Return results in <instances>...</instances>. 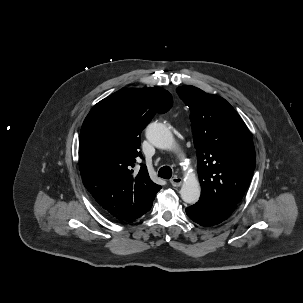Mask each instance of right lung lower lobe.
I'll list each match as a JSON object with an SVG mask.
<instances>
[{"mask_svg":"<svg viewBox=\"0 0 303 303\" xmlns=\"http://www.w3.org/2000/svg\"><path fill=\"white\" fill-rule=\"evenodd\" d=\"M151 206H152V204L150 205V207L148 208V210H147V211H149V210H150ZM147 211H146V212H147ZM142 215H143V214H142ZM142 215H141V216H142ZM139 217H140V216H139ZM139 217H138V218H139Z\"/></svg>","mask_w":303,"mask_h":303,"instance_id":"98d812e1","label":"right lung lower lobe"}]
</instances>
